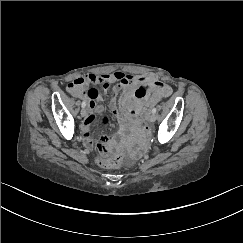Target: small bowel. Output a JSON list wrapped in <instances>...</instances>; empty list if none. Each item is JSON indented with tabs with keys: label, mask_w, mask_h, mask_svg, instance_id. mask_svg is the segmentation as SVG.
Here are the masks:
<instances>
[{
	"label": "small bowel",
	"mask_w": 243,
	"mask_h": 243,
	"mask_svg": "<svg viewBox=\"0 0 243 243\" xmlns=\"http://www.w3.org/2000/svg\"><path fill=\"white\" fill-rule=\"evenodd\" d=\"M115 81L119 83L114 87L115 96L110 102V107L120 122L129 125L136 124L133 116L148 112L162 98L171 94L170 87L160 82L157 76L151 73L135 76L122 72L86 74L72 79L67 86L68 92L77 98L88 100L89 112L81 124L84 143L87 147H92L94 144L90 132L95 122L94 112L102 110V107L97 104L100 99L99 92L96 89H89L88 86L91 83H103L104 88L107 89L110 83ZM122 89H125V92L119 102L120 109H118L116 95Z\"/></svg>",
	"instance_id": "c3829d8e"
}]
</instances>
